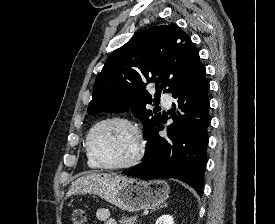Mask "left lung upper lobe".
Returning a JSON list of instances; mask_svg holds the SVG:
<instances>
[{"label": "left lung upper lobe", "mask_w": 275, "mask_h": 224, "mask_svg": "<svg viewBox=\"0 0 275 224\" xmlns=\"http://www.w3.org/2000/svg\"><path fill=\"white\" fill-rule=\"evenodd\" d=\"M203 67L198 50L176 24L153 26L137 33L107 59L94 83L88 112H123L129 106L147 136L161 122V115L146 108L155 101L146 85L156 84L172 93Z\"/></svg>", "instance_id": "obj_1"}]
</instances>
